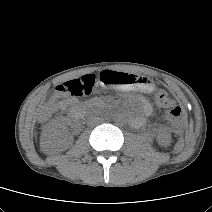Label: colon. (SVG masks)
<instances>
[{
    "label": "colon",
    "mask_w": 212,
    "mask_h": 212,
    "mask_svg": "<svg viewBox=\"0 0 212 212\" xmlns=\"http://www.w3.org/2000/svg\"><path fill=\"white\" fill-rule=\"evenodd\" d=\"M98 83H100L98 81V75L87 74L59 84L55 89L54 98L41 108L39 113L40 120L45 121L51 116V114L58 108L59 100L62 97H82L91 95ZM155 98L159 106L168 109V118L173 123L179 124L183 116L182 107L176 104L175 101L161 89L155 90Z\"/></svg>",
    "instance_id": "obj_1"
}]
</instances>
